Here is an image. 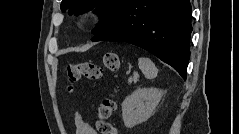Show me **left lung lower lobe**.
<instances>
[{"mask_svg":"<svg viewBox=\"0 0 239 134\" xmlns=\"http://www.w3.org/2000/svg\"><path fill=\"white\" fill-rule=\"evenodd\" d=\"M189 0H127L114 23L92 41L127 42L171 65L185 80L190 57Z\"/></svg>","mask_w":239,"mask_h":134,"instance_id":"left-lung-lower-lobe-1","label":"left lung lower lobe"}]
</instances>
